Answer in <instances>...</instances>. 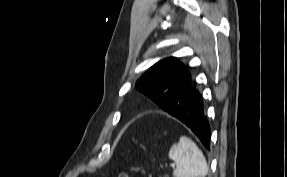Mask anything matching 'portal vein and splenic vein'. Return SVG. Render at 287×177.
I'll return each instance as SVG.
<instances>
[{"instance_id":"portal-vein-and-splenic-vein-1","label":"portal vein and splenic vein","mask_w":287,"mask_h":177,"mask_svg":"<svg viewBox=\"0 0 287 177\" xmlns=\"http://www.w3.org/2000/svg\"><path fill=\"white\" fill-rule=\"evenodd\" d=\"M171 167H173V168H174V167H175V165H174V164H172V165H171Z\"/></svg>"}]
</instances>
